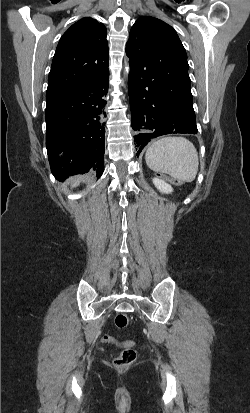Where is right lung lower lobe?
<instances>
[{
  "label": "right lung lower lobe",
  "instance_id": "98d812e1",
  "mask_svg": "<svg viewBox=\"0 0 250 413\" xmlns=\"http://www.w3.org/2000/svg\"><path fill=\"white\" fill-rule=\"evenodd\" d=\"M108 79L109 70L90 82L46 93V147L59 181L89 171L100 178L104 171Z\"/></svg>",
  "mask_w": 250,
  "mask_h": 413
}]
</instances>
